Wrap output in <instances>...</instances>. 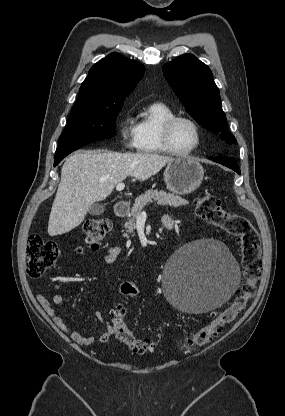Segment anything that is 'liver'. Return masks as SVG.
Masks as SVG:
<instances>
[{"label": "liver", "mask_w": 285, "mask_h": 416, "mask_svg": "<svg viewBox=\"0 0 285 416\" xmlns=\"http://www.w3.org/2000/svg\"><path fill=\"white\" fill-rule=\"evenodd\" d=\"M173 160L159 154L79 150L63 164L48 222L49 236H60L80 226L89 208L106 200L127 176L145 182Z\"/></svg>", "instance_id": "6515ba94"}]
</instances>
